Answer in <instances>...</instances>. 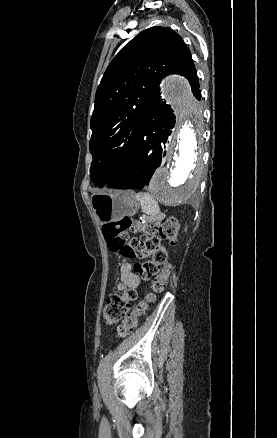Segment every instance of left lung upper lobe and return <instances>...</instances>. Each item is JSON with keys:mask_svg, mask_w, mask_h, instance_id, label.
<instances>
[{"mask_svg": "<svg viewBox=\"0 0 277 438\" xmlns=\"http://www.w3.org/2000/svg\"><path fill=\"white\" fill-rule=\"evenodd\" d=\"M168 74L185 76L200 99L197 72L182 38L170 28H148L114 57L97 88L91 117L90 178L103 187L115 182L130 161L144 110L160 98Z\"/></svg>", "mask_w": 277, "mask_h": 438, "instance_id": "1", "label": "left lung upper lobe"}]
</instances>
